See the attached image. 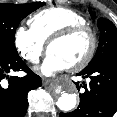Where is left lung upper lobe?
Wrapping results in <instances>:
<instances>
[{
  "label": "left lung upper lobe",
  "instance_id": "left-lung-upper-lobe-1",
  "mask_svg": "<svg viewBox=\"0 0 117 117\" xmlns=\"http://www.w3.org/2000/svg\"><path fill=\"white\" fill-rule=\"evenodd\" d=\"M89 12L91 17L95 19V12H92V10H89ZM97 26L100 31L99 45L94 58L84 70L92 68L112 52L117 51V28L115 25L105 18H99L97 20Z\"/></svg>",
  "mask_w": 117,
  "mask_h": 117
}]
</instances>
